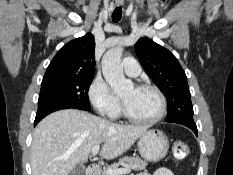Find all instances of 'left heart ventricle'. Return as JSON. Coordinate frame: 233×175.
I'll list each match as a JSON object with an SVG mask.
<instances>
[{"instance_id":"obj_1","label":"left heart ventricle","mask_w":233,"mask_h":175,"mask_svg":"<svg viewBox=\"0 0 233 175\" xmlns=\"http://www.w3.org/2000/svg\"><path fill=\"white\" fill-rule=\"evenodd\" d=\"M121 98L125 101L129 112L136 118L150 119L160 109V101L157 94L149 89L128 88Z\"/></svg>"}]
</instances>
